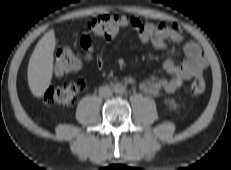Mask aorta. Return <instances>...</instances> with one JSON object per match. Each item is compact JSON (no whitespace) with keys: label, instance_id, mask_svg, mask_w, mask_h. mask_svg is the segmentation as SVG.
Returning a JSON list of instances; mask_svg holds the SVG:
<instances>
[{"label":"aorta","instance_id":"aorta-1","mask_svg":"<svg viewBox=\"0 0 231 170\" xmlns=\"http://www.w3.org/2000/svg\"><path fill=\"white\" fill-rule=\"evenodd\" d=\"M113 90L116 94H123L125 92V87L122 84L117 83L113 87Z\"/></svg>","mask_w":231,"mask_h":170}]
</instances>
